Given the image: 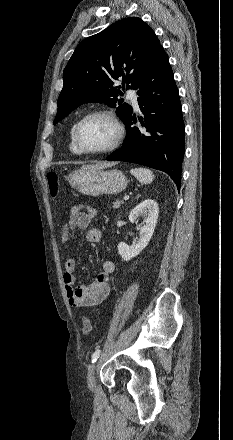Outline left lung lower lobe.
I'll use <instances>...</instances> for the list:
<instances>
[{
  "mask_svg": "<svg viewBox=\"0 0 233 440\" xmlns=\"http://www.w3.org/2000/svg\"><path fill=\"white\" fill-rule=\"evenodd\" d=\"M137 89L138 104L144 114L140 120L142 127L133 126L136 117L131 112L125 122L124 144L107 160L132 162L164 171L180 189L185 126L178 88L164 50Z\"/></svg>",
  "mask_w": 233,
  "mask_h": 440,
  "instance_id": "1",
  "label": "left lung lower lobe"
}]
</instances>
